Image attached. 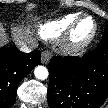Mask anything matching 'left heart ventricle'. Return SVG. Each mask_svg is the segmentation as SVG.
<instances>
[{
	"label": "left heart ventricle",
	"instance_id": "obj_1",
	"mask_svg": "<svg viewBox=\"0 0 108 108\" xmlns=\"http://www.w3.org/2000/svg\"><path fill=\"white\" fill-rule=\"evenodd\" d=\"M90 29H91V22L90 21L83 22L78 29V36L83 37L87 35Z\"/></svg>",
	"mask_w": 108,
	"mask_h": 108
}]
</instances>
